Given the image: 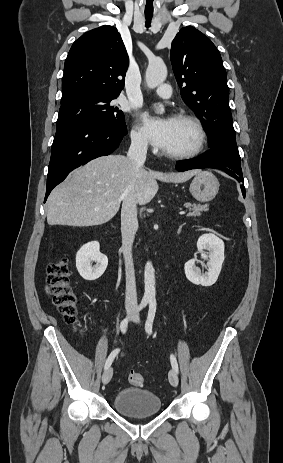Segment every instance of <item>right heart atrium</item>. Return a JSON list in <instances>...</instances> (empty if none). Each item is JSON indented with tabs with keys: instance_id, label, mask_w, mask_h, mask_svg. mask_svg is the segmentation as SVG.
Wrapping results in <instances>:
<instances>
[{
	"instance_id": "right-heart-atrium-1",
	"label": "right heart atrium",
	"mask_w": 283,
	"mask_h": 463,
	"mask_svg": "<svg viewBox=\"0 0 283 463\" xmlns=\"http://www.w3.org/2000/svg\"><path fill=\"white\" fill-rule=\"evenodd\" d=\"M131 142L135 148L141 150L146 149L148 146L144 133L137 127H134L131 131Z\"/></svg>"
}]
</instances>
